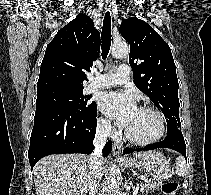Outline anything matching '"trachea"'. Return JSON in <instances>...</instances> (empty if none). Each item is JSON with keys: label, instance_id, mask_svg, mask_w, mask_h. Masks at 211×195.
Returning a JSON list of instances; mask_svg holds the SVG:
<instances>
[{"label": "trachea", "instance_id": "obj_1", "mask_svg": "<svg viewBox=\"0 0 211 195\" xmlns=\"http://www.w3.org/2000/svg\"><path fill=\"white\" fill-rule=\"evenodd\" d=\"M111 16L110 12H106L103 20V27H102V33H101V38H102V44H101V49H102V58L106 59L107 55L110 50L111 46Z\"/></svg>", "mask_w": 211, "mask_h": 195}]
</instances>
